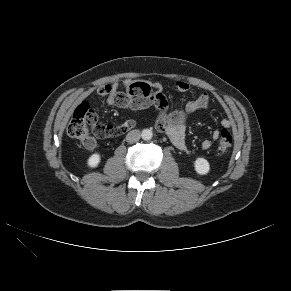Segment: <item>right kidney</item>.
<instances>
[{
  "label": "right kidney",
  "instance_id": "right-kidney-1",
  "mask_svg": "<svg viewBox=\"0 0 291 291\" xmlns=\"http://www.w3.org/2000/svg\"><path fill=\"white\" fill-rule=\"evenodd\" d=\"M101 161V156L99 153H94L92 154L88 160H87V165L90 167V168H95L99 165Z\"/></svg>",
  "mask_w": 291,
  "mask_h": 291
}]
</instances>
